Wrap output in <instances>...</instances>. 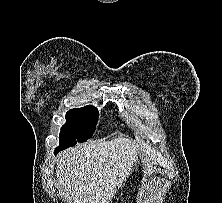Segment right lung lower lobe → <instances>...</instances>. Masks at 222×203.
I'll use <instances>...</instances> for the list:
<instances>
[{"mask_svg": "<svg viewBox=\"0 0 222 203\" xmlns=\"http://www.w3.org/2000/svg\"><path fill=\"white\" fill-rule=\"evenodd\" d=\"M59 150H60V149L56 148V150H55V152H54V153L56 154V153H57Z\"/></svg>", "mask_w": 222, "mask_h": 203, "instance_id": "1", "label": "right lung lower lobe"}]
</instances>
